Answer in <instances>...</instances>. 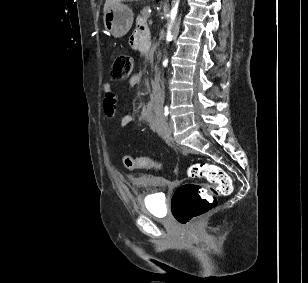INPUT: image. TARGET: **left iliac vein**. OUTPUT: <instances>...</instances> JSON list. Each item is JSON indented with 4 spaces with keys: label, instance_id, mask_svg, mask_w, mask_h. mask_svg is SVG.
Masks as SVG:
<instances>
[{
    "label": "left iliac vein",
    "instance_id": "1",
    "mask_svg": "<svg viewBox=\"0 0 308 283\" xmlns=\"http://www.w3.org/2000/svg\"><path fill=\"white\" fill-rule=\"evenodd\" d=\"M173 130H174V123L172 121L165 123L163 127V135L165 136V138L171 139Z\"/></svg>",
    "mask_w": 308,
    "mask_h": 283
}]
</instances>
